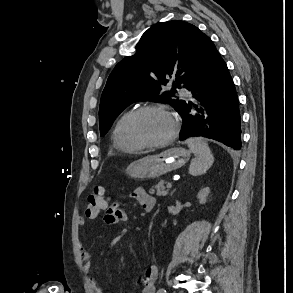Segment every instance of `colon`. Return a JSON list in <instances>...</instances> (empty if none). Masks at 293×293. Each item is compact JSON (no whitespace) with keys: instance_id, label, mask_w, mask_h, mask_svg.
<instances>
[{"instance_id":"1","label":"colon","mask_w":293,"mask_h":293,"mask_svg":"<svg viewBox=\"0 0 293 293\" xmlns=\"http://www.w3.org/2000/svg\"><path fill=\"white\" fill-rule=\"evenodd\" d=\"M109 205L106 191L103 186H97L94 192L88 196L86 202V215L95 218L104 212Z\"/></svg>"}]
</instances>
